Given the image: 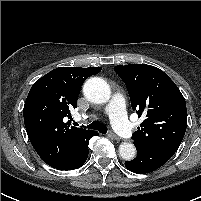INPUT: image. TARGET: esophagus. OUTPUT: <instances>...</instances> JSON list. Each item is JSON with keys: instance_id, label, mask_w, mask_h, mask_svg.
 <instances>
[{"instance_id": "obj_1", "label": "esophagus", "mask_w": 201, "mask_h": 201, "mask_svg": "<svg viewBox=\"0 0 201 201\" xmlns=\"http://www.w3.org/2000/svg\"><path fill=\"white\" fill-rule=\"evenodd\" d=\"M108 137L111 138V139L117 140V141L120 140V138L114 132H112V131H110L108 133Z\"/></svg>"}]
</instances>
